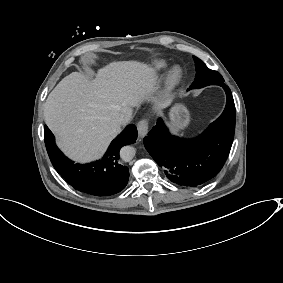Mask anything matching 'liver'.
Wrapping results in <instances>:
<instances>
[{"label":"liver","instance_id":"6515ba94","mask_svg":"<svg viewBox=\"0 0 283 283\" xmlns=\"http://www.w3.org/2000/svg\"><path fill=\"white\" fill-rule=\"evenodd\" d=\"M157 79L153 67L137 61L109 63L93 81L72 72L48 95L45 123L68 157L80 163L98 159L120 133L119 118L130 121L132 108L156 90Z\"/></svg>","mask_w":283,"mask_h":283}]
</instances>
